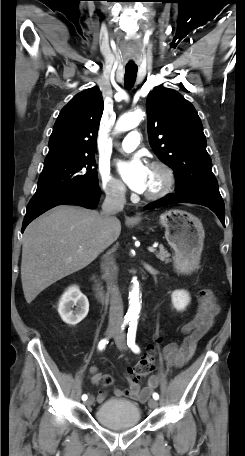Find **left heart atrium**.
<instances>
[{"mask_svg":"<svg viewBox=\"0 0 245 456\" xmlns=\"http://www.w3.org/2000/svg\"><path fill=\"white\" fill-rule=\"evenodd\" d=\"M118 171L127 185L134 191L142 193L146 189L148 167L138 157L129 161H121Z\"/></svg>","mask_w":245,"mask_h":456,"instance_id":"obj_1","label":"left heart atrium"}]
</instances>
